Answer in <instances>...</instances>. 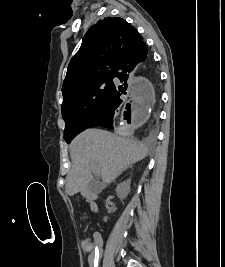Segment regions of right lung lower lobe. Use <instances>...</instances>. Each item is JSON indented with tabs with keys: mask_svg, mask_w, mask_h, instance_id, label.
<instances>
[{
	"mask_svg": "<svg viewBox=\"0 0 225 267\" xmlns=\"http://www.w3.org/2000/svg\"><path fill=\"white\" fill-rule=\"evenodd\" d=\"M136 67H141L150 76L153 81L158 80L157 73L152 64L151 58L147 55V46L144 42L131 48L122 58L121 63L114 74V77L123 82V86H115V89L103 110L98 113L88 127L103 126L108 129H114L113 117L115 110L123 103L122 96L126 94L127 82L133 79V73ZM151 84L150 82H148Z\"/></svg>",
	"mask_w": 225,
	"mask_h": 267,
	"instance_id": "obj_1",
	"label": "right lung lower lobe"
}]
</instances>
